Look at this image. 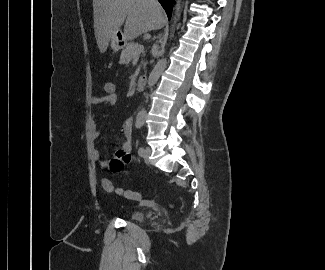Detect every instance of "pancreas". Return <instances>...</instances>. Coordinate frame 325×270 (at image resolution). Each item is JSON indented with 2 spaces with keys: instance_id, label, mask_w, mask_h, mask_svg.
<instances>
[{
  "instance_id": "cf45deb5",
  "label": "pancreas",
  "mask_w": 325,
  "mask_h": 270,
  "mask_svg": "<svg viewBox=\"0 0 325 270\" xmlns=\"http://www.w3.org/2000/svg\"><path fill=\"white\" fill-rule=\"evenodd\" d=\"M139 46L137 43H128L125 45L120 56V64H129L131 60H135L139 57L143 51H138Z\"/></svg>"
}]
</instances>
